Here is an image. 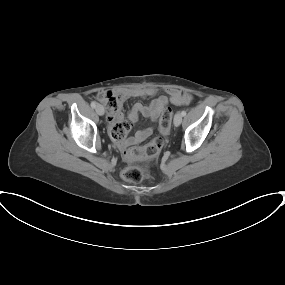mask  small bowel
Segmentation results:
<instances>
[{
    "label": "small bowel",
    "mask_w": 285,
    "mask_h": 285,
    "mask_svg": "<svg viewBox=\"0 0 285 285\" xmlns=\"http://www.w3.org/2000/svg\"><path fill=\"white\" fill-rule=\"evenodd\" d=\"M157 91L152 87H145L139 89H123L115 91L111 94L119 97L121 101H124L131 97L139 98H149L154 97ZM192 100V96L189 93H183L176 89L168 90L167 95L160 96L151 101L149 105H143L141 103L134 104L128 112V119L131 122H137L139 116L142 115L148 118L151 122H155L161 113V111L169 104L174 105H186ZM107 119L110 124V129L114 128L118 124L124 122V116L121 112L108 113ZM153 133L151 127L139 130L133 137L125 138V140L119 144L122 148H127L128 146L145 141Z\"/></svg>",
    "instance_id": "small-bowel-1"
}]
</instances>
